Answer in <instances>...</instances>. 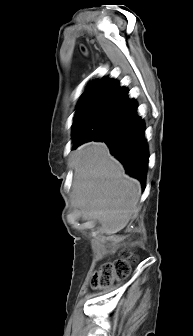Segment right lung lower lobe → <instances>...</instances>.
<instances>
[{
    "mask_svg": "<svg viewBox=\"0 0 193 336\" xmlns=\"http://www.w3.org/2000/svg\"><path fill=\"white\" fill-rule=\"evenodd\" d=\"M144 131V123L137 115V105L126 92L113 109L103 130L93 139L86 141H104L111 154L122 162L126 172L139 179L144 188L148 169V149ZM83 142L74 143L73 148Z\"/></svg>",
    "mask_w": 193,
    "mask_h": 336,
    "instance_id": "obj_1",
    "label": "right lung lower lobe"
}]
</instances>
